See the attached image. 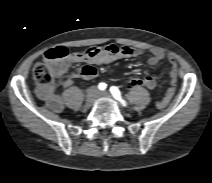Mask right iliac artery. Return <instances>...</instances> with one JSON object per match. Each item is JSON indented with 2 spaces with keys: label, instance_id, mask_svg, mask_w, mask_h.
<instances>
[{
  "label": "right iliac artery",
  "instance_id": "82829eb1",
  "mask_svg": "<svg viewBox=\"0 0 212 183\" xmlns=\"http://www.w3.org/2000/svg\"><path fill=\"white\" fill-rule=\"evenodd\" d=\"M106 84L105 83H100L99 85H98V88L100 89V90H105L106 89Z\"/></svg>",
  "mask_w": 212,
  "mask_h": 183
}]
</instances>
